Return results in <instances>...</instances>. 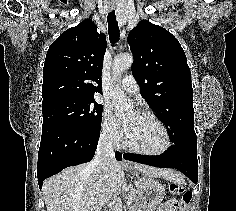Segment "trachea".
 Instances as JSON below:
<instances>
[{"label": "trachea", "instance_id": "obj_1", "mask_svg": "<svg viewBox=\"0 0 236 211\" xmlns=\"http://www.w3.org/2000/svg\"><path fill=\"white\" fill-rule=\"evenodd\" d=\"M109 39L112 44L119 41L120 30L115 16V10L109 12L107 16Z\"/></svg>", "mask_w": 236, "mask_h": 211}]
</instances>
